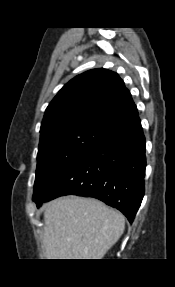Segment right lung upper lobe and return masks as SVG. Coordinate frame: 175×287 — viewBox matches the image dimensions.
I'll list each match as a JSON object with an SVG mask.
<instances>
[{
    "label": "right lung upper lobe",
    "instance_id": "1",
    "mask_svg": "<svg viewBox=\"0 0 175 287\" xmlns=\"http://www.w3.org/2000/svg\"><path fill=\"white\" fill-rule=\"evenodd\" d=\"M137 113L132 96L118 74L103 68L92 69L62 87L45 111L40 132L86 122L115 126Z\"/></svg>",
    "mask_w": 175,
    "mask_h": 287
}]
</instances>
